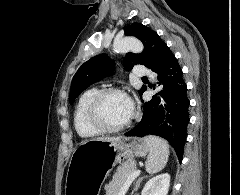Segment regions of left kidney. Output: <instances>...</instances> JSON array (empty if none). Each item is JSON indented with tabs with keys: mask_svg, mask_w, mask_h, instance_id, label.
<instances>
[{
	"mask_svg": "<svg viewBox=\"0 0 240 195\" xmlns=\"http://www.w3.org/2000/svg\"><path fill=\"white\" fill-rule=\"evenodd\" d=\"M170 185L169 173H160L145 183L141 195H167Z\"/></svg>",
	"mask_w": 240,
	"mask_h": 195,
	"instance_id": "obj_1",
	"label": "left kidney"
}]
</instances>
